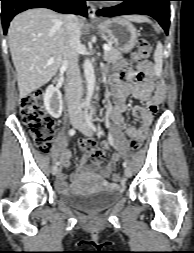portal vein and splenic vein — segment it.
I'll list each match as a JSON object with an SVG mask.
<instances>
[{
	"mask_svg": "<svg viewBox=\"0 0 194 253\" xmlns=\"http://www.w3.org/2000/svg\"><path fill=\"white\" fill-rule=\"evenodd\" d=\"M103 50L104 51H109L110 50V47L108 45H103ZM54 61V58H50L48 61H47V64H51L52 62Z\"/></svg>",
	"mask_w": 194,
	"mask_h": 253,
	"instance_id": "1",
	"label": "portal vein and splenic vein"
}]
</instances>
